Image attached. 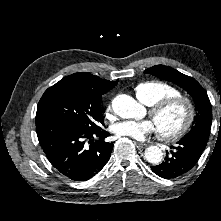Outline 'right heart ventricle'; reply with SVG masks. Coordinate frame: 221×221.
I'll return each instance as SVG.
<instances>
[{
  "mask_svg": "<svg viewBox=\"0 0 221 221\" xmlns=\"http://www.w3.org/2000/svg\"><path fill=\"white\" fill-rule=\"evenodd\" d=\"M135 94L139 101L152 106L160 100L179 96L180 92L174 86L163 81H146L135 87Z\"/></svg>",
  "mask_w": 221,
  "mask_h": 221,
  "instance_id": "obj_1",
  "label": "right heart ventricle"
}]
</instances>
